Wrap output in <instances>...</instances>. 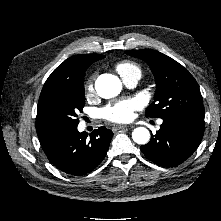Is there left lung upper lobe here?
<instances>
[{
  "mask_svg": "<svg viewBox=\"0 0 221 221\" xmlns=\"http://www.w3.org/2000/svg\"><path fill=\"white\" fill-rule=\"evenodd\" d=\"M144 60L151 68L157 85L155 102L146 110V117H197L204 119L203 100L194 77L172 58L152 49L126 51Z\"/></svg>",
  "mask_w": 221,
  "mask_h": 221,
  "instance_id": "1",
  "label": "left lung upper lobe"
}]
</instances>
